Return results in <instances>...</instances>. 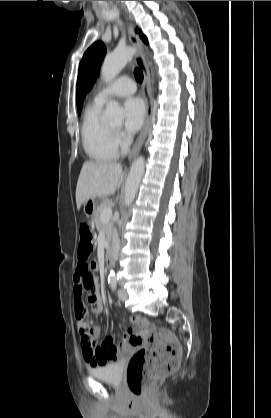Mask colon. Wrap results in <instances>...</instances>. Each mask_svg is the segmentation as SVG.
<instances>
[{"mask_svg":"<svg viewBox=\"0 0 271 418\" xmlns=\"http://www.w3.org/2000/svg\"><path fill=\"white\" fill-rule=\"evenodd\" d=\"M94 247V237L90 226L82 222L79 225L78 257L89 258ZM79 314H86L84 311ZM145 327L147 342L145 348L137 351L130 359L127 367V384L131 393L143 396L148 387L157 379L177 370L181 348L175 336L166 329L148 327L139 317H132Z\"/></svg>","mask_w":271,"mask_h":418,"instance_id":"colon-1","label":"colon"}]
</instances>
